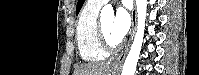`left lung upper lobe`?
Masks as SVG:
<instances>
[{
    "label": "left lung upper lobe",
    "instance_id": "5c2ea615",
    "mask_svg": "<svg viewBox=\"0 0 199 75\" xmlns=\"http://www.w3.org/2000/svg\"><path fill=\"white\" fill-rule=\"evenodd\" d=\"M85 0H78V3H77V8H76V14L79 13L83 3H84Z\"/></svg>",
    "mask_w": 199,
    "mask_h": 75
}]
</instances>
